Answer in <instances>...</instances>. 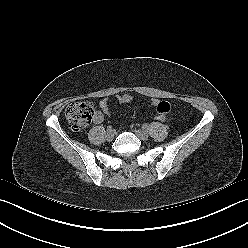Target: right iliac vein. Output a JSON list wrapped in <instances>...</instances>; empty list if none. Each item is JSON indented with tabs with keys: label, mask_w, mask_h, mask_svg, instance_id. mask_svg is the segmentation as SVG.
<instances>
[{
	"label": "right iliac vein",
	"mask_w": 248,
	"mask_h": 248,
	"mask_svg": "<svg viewBox=\"0 0 248 248\" xmlns=\"http://www.w3.org/2000/svg\"><path fill=\"white\" fill-rule=\"evenodd\" d=\"M114 137V132L113 131H107L106 138L107 140H112Z\"/></svg>",
	"instance_id": "obj_1"
}]
</instances>
